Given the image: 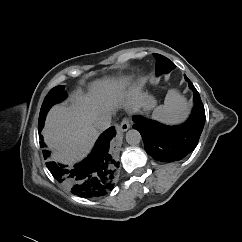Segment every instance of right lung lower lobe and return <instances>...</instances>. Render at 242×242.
<instances>
[{
  "mask_svg": "<svg viewBox=\"0 0 242 242\" xmlns=\"http://www.w3.org/2000/svg\"><path fill=\"white\" fill-rule=\"evenodd\" d=\"M44 124V123H43ZM42 124V128H43ZM41 125L39 131L42 130ZM114 127H110L98 138L90 155L74 166L64 165L53 160L46 163L53 177L79 197L95 198L112 189V181L117 162L108 153L110 140L115 136ZM40 146L45 147L40 136ZM46 157L50 151L44 150Z\"/></svg>",
  "mask_w": 242,
  "mask_h": 242,
  "instance_id": "right-lung-lower-lobe-1",
  "label": "right lung lower lobe"
}]
</instances>
